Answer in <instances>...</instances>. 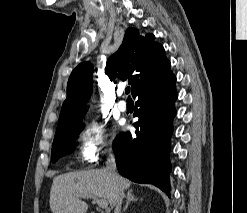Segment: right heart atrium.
Here are the masks:
<instances>
[{
	"label": "right heart atrium",
	"instance_id": "1",
	"mask_svg": "<svg viewBox=\"0 0 247 213\" xmlns=\"http://www.w3.org/2000/svg\"><path fill=\"white\" fill-rule=\"evenodd\" d=\"M111 151V134L105 124L88 122L81 128L78 155L83 161L95 163Z\"/></svg>",
	"mask_w": 247,
	"mask_h": 213
}]
</instances>
